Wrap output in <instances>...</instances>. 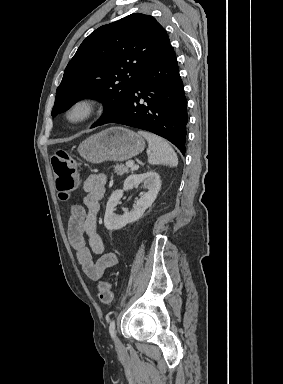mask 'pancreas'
Returning a JSON list of instances; mask_svg holds the SVG:
<instances>
[{"mask_svg":"<svg viewBox=\"0 0 283 384\" xmlns=\"http://www.w3.org/2000/svg\"><path fill=\"white\" fill-rule=\"evenodd\" d=\"M114 170L118 176H123V174L129 172V168H127V166H114Z\"/></svg>","mask_w":283,"mask_h":384,"instance_id":"cf45deb5","label":"pancreas"}]
</instances>
